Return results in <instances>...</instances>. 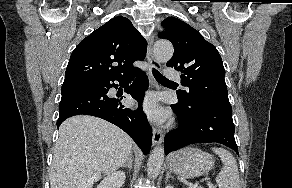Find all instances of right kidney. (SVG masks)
<instances>
[{
  "label": "right kidney",
  "instance_id": "1",
  "mask_svg": "<svg viewBox=\"0 0 292 188\" xmlns=\"http://www.w3.org/2000/svg\"><path fill=\"white\" fill-rule=\"evenodd\" d=\"M125 173L114 172L105 177L97 186V188H121L125 182Z\"/></svg>",
  "mask_w": 292,
  "mask_h": 188
}]
</instances>
